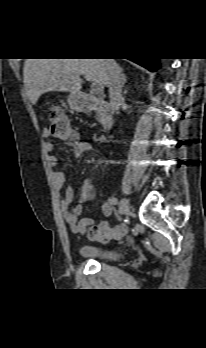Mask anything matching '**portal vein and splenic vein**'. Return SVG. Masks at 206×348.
Masks as SVG:
<instances>
[{"label":"portal vein and splenic vein","mask_w":206,"mask_h":348,"mask_svg":"<svg viewBox=\"0 0 206 348\" xmlns=\"http://www.w3.org/2000/svg\"><path fill=\"white\" fill-rule=\"evenodd\" d=\"M80 80H81V79H80ZM92 90H93L94 92L99 93V92L102 91V85H100L99 83L94 82L93 85H92Z\"/></svg>","instance_id":"18ae733b"}]
</instances>
